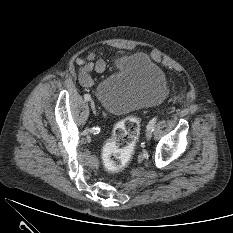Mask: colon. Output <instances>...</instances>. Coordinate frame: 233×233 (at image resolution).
<instances>
[{"label": "colon", "instance_id": "5ec220e1", "mask_svg": "<svg viewBox=\"0 0 233 233\" xmlns=\"http://www.w3.org/2000/svg\"><path fill=\"white\" fill-rule=\"evenodd\" d=\"M139 131L136 116H129L115 126L103 151V164L108 172L116 173L126 166L133 154Z\"/></svg>", "mask_w": 233, "mask_h": 233}]
</instances>
